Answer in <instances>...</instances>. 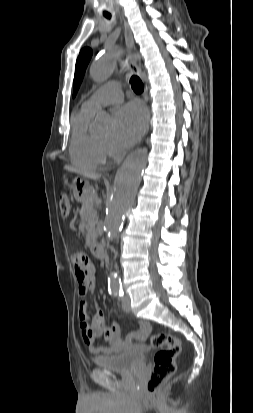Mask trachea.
<instances>
[{"instance_id":"trachea-1","label":"trachea","mask_w":253,"mask_h":413,"mask_svg":"<svg viewBox=\"0 0 253 413\" xmlns=\"http://www.w3.org/2000/svg\"><path fill=\"white\" fill-rule=\"evenodd\" d=\"M104 16H105L107 19H110V18H111V15H109V14H105ZM130 84H131V87H132V89L134 90V92H136V93H141V92H143V90H144V85H143V83H142V81L140 80L139 77H137V76H132V77L130 78Z\"/></svg>"}]
</instances>
